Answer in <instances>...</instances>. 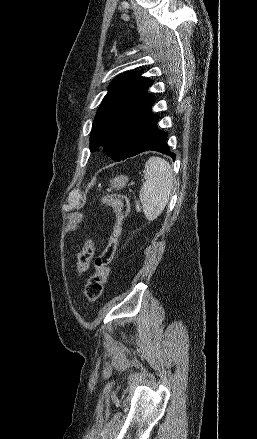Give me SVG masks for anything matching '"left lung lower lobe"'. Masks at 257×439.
Returning <instances> with one entry per match:
<instances>
[{
    "label": "left lung lower lobe",
    "instance_id": "obj_1",
    "mask_svg": "<svg viewBox=\"0 0 257 439\" xmlns=\"http://www.w3.org/2000/svg\"><path fill=\"white\" fill-rule=\"evenodd\" d=\"M158 119L159 116L151 113L141 129L135 147L126 158L151 150L161 152L175 159V154L170 151V148L166 143L167 133L160 131L157 128Z\"/></svg>",
    "mask_w": 257,
    "mask_h": 439
}]
</instances>
